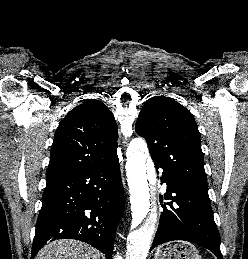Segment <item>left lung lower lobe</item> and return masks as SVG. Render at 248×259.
<instances>
[{
    "label": "left lung lower lobe",
    "instance_id": "left-lung-lower-lobe-1",
    "mask_svg": "<svg viewBox=\"0 0 248 259\" xmlns=\"http://www.w3.org/2000/svg\"><path fill=\"white\" fill-rule=\"evenodd\" d=\"M161 179V183L167 184L165 199L172 201L162 205L151 250L168 241L184 240L201 245L211 250L218 259H223L208 193L191 190L164 171Z\"/></svg>",
    "mask_w": 248,
    "mask_h": 259
}]
</instances>
